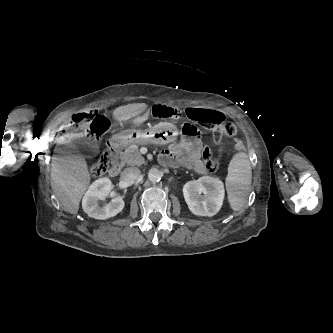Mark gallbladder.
Here are the masks:
<instances>
[{
	"label": "gallbladder",
	"mask_w": 333,
	"mask_h": 333,
	"mask_svg": "<svg viewBox=\"0 0 333 333\" xmlns=\"http://www.w3.org/2000/svg\"><path fill=\"white\" fill-rule=\"evenodd\" d=\"M74 142L77 146L85 148L87 151L93 148V145H91L84 136L76 137Z\"/></svg>",
	"instance_id": "obj_1"
}]
</instances>
